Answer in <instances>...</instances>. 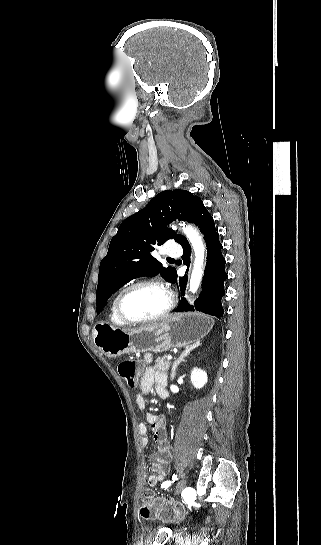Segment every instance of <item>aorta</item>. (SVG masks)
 Wrapping results in <instances>:
<instances>
[{
  "label": "aorta",
  "mask_w": 321,
  "mask_h": 545,
  "mask_svg": "<svg viewBox=\"0 0 321 545\" xmlns=\"http://www.w3.org/2000/svg\"><path fill=\"white\" fill-rule=\"evenodd\" d=\"M180 227L182 228L186 237L189 239L195 254L194 267L190 278V291L195 293L203 276L205 246L198 232L194 228L191 226H186L184 223L180 224ZM173 229L176 230V227H173Z\"/></svg>",
  "instance_id": "obj_1"
}]
</instances>
